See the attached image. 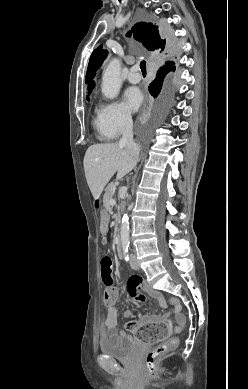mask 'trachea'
I'll return each mask as SVG.
<instances>
[{
  "label": "trachea",
  "instance_id": "1",
  "mask_svg": "<svg viewBox=\"0 0 248 389\" xmlns=\"http://www.w3.org/2000/svg\"><path fill=\"white\" fill-rule=\"evenodd\" d=\"M140 68H141L142 73L146 74V61L143 60L140 62Z\"/></svg>",
  "mask_w": 248,
  "mask_h": 389
}]
</instances>
